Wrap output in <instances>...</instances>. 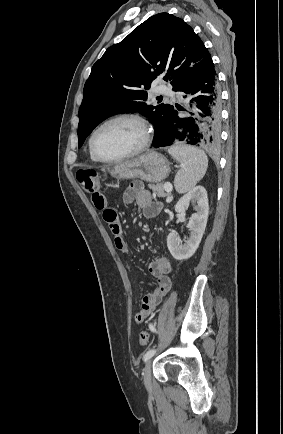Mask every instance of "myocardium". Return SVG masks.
Masks as SVG:
<instances>
[{
  "instance_id": "1",
  "label": "myocardium",
  "mask_w": 283,
  "mask_h": 434,
  "mask_svg": "<svg viewBox=\"0 0 283 434\" xmlns=\"http://www.w3.org/2000/svg\"><path fill=\"white\" fill-rule=\"evenodd\" d=\"M121 120H128V121L135 122L141 128L142 133H143V138H142L141 144L134 151L127 153V154L120 156V157L104 158V157L100 156L94 147V139H95L96 134L104 126H106L110 123L116 122V121H121ZM151 140H152V129H151V126H150L148 120L144 116H142L138 113H121V114L112 116V117L104 120L102 123H100L92 131L88 143H89L90 153L97 161L102 162V163H118V162L128 160L130 158H133V157L138 156L141 153H143L150 146Z\"/></svg>"
}]
</instances>
